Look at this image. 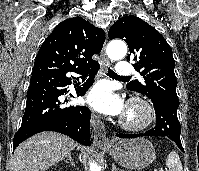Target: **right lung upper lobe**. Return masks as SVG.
I'll list each match as a JSON object with an SVG mask.
<instances>
[{
	"instance_id": "cb5924a9",
	"label": "right lung upper lobe",
	"mask_w": 199,
	"mask_h": 171,
	"mask_svg": "<svg viewBox=\"0 0 199 171\" xmlns=\"http://www.w3.org/2000/svg\"><path fill=\"white\" fill-rule=\"evenodd\" d=\"M104 40V31L82 17L66 19L42 44L32 73L82 70L96 63L92 56L100 53Z\"/></svg>"
}]
</instances>
